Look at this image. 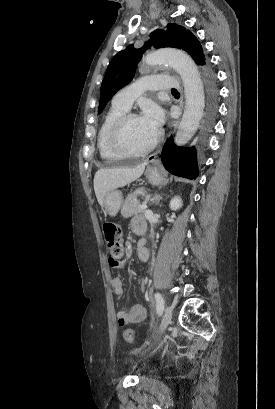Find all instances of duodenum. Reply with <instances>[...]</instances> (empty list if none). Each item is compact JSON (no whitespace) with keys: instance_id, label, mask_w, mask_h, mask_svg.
Here are the masks:
<instances>
[{"instance_id":"1","label":"duodenum","mask_w":275,"mask_h":409,"mask_svg":"<svg viewBox=\"0 0 275 409\" xmlns=\"http://www.w3.org/2000/svg\"><path fill=\"white\" fill-rule=\"evenodd\" d=\"M134 231L137 235H143L146 231V226L144 223H138L134 226Z\"/></svg>"}]
</instances>
